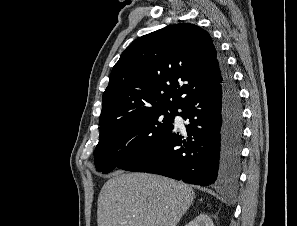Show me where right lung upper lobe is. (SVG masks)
<instances>
[{
    "instance_id": "right-lung-upper-lobe-1",
    "label": "right lung upper lobe",
    "mask_w": 297,
    "mask_h": 226,
    "mask_svg": "<svg viewBox=\"0 0 297 226\" xmlns=\"http://www.w3.org/2000/svg\"><path fill=\"white\" fill-rule=\"evenodd\" d=\"M220 56L207 31L180 23L134 40L113 67L100 130L154 110H176L221 81Z\"/></svg>"
}]
</instances>
